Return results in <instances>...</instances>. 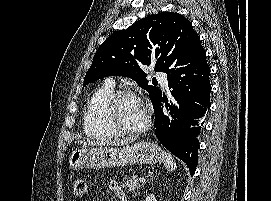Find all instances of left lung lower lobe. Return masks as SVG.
I'll return each mask as SVG.
<instances>
[{"instance_id":"obj_1","label":"left lung lower lobe","mask_w":271,"mask_h":201,"mask_svg":"<svg viewBox=\"0 0 271 201\" xmlns=\"http://www.w3.org/2000/svg\"><path fill=\"white\" fill-rule=\"evenodd\" d=\"M165 73L177 104H167L162 93L155 99V133L172 154L187 164L193 176L198 161V136L211 105L210 68L198 36L177 41ZM162 103L168 111L163 110Z\"/></svg>"}]
</instances>
